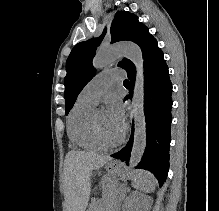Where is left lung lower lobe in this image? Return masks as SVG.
I'll return each mask as SVG.
<instances>
[{"instance_id": "0a47b994", "label": "left lung lower lobe", "mask_w": 219, "mask_h": 211, "mask_svg": "<svg viewBox=\"0 0 219 211\" xmlns=\"http://www.w3.org/2000/svg\"><path fill=\"white\" fill-rule=\"evenodd\" d=\"M136 71L128 73L131 82L129 95L135 82ZM144 113L146 121V149L137 168L149 170L163 185L169 169V145L171 141L172 84L163 52L157 50L144 63ZM133 145V134L126 146L111 157L128 164Z\"/></svg>"}]
</instances>
